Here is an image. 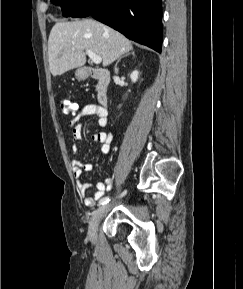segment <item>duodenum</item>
<instances>
[{"label":"duodenum","instance_id":"duodenum-1","mask_svg":"<svg viewBox=\"0 0 243 289\" xmlns=\"http://www.w3.org/2000/svg\"><path fill=\"white\" fill-rule=\"evenodd\" d=\"M85 73L98 82L97 100L103 108H106L108 105V86L110 83L109 72L102 68L88 67L85 69Z\"/></svg>","mask_w":243,"mask_h":289}]
</instances>
